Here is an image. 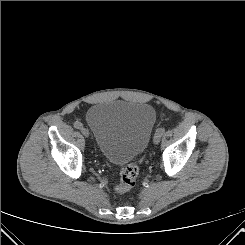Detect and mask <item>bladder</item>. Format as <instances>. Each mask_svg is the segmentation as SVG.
Returning <instances> with one entry per match:
<instances>
[{"label":"bladder","mask_w":245,"mask_h":245,"mask_svg":"<svg viewBox=\"0 0 245 245\" xmlns=\"http://www.w3.org/2000/svg\"><path fill=\"white\" fill-rule=\"evenodd\" d=\"M155 122V109L141 102H101L86 113L97 150L116 165L136 158L145 150Z\"/></svg>","instance_id":"1"}]
</instances>
